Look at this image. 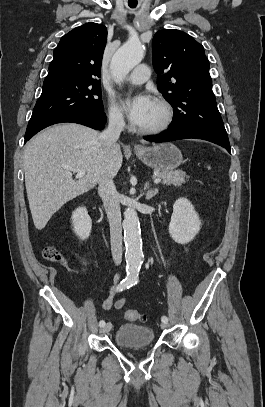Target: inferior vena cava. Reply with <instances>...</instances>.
I'll use <instances>...</instances> for the list:
<instances>
[{"label":"inferior vena cava","mask_w":265,"mask_h":407,"mask_svg":"<svg viewBox=\"0 0 265 407\" xmlns=\"http://www.w3.org/2000/svg\"><path fill=\"white\" fill-rule=\"evenodd\" d=\"M124 126V119L120 114L109 115L108 127L100 134V140L105 148H110L115 144ZM98 184V193L102 198L110 225L113 261L116 265H120L122 261V226L118 192L113 177L109 173H103L98 179Z\"/></svg>","instance_id":"obj_1"}]
</instances>
